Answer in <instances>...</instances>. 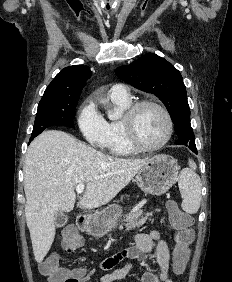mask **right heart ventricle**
I'll return each mask as SVG.
<instances>
[{
  "instance_id": "right-heart-ventricle-1",
  "label": "right heart ventricle",
  "mask_w": 232,
  "mask_h": 282,
  "mask_svg": "<svg viewBox=\"0 0 232 282\" xmlns=\"http://www.w3.org/2000/svg\"><path fill=\"white\" fill-rule=\"evenodd\" d=\"M111 100L121 111H126L132 104L130 98L120 99L111 97ZM104 148L116 156H127L136 152L127 141L122 119H115L107 122V139Z\"/></svg>"
}]
</instances>
